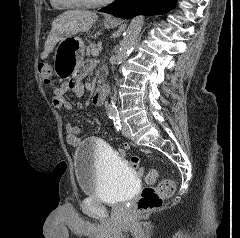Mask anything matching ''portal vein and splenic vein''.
<instances>
[{
  "mask_svg": "<svg viewBox=\"0 0 240 238\" xmlns=\"http://www.w3.org/2000/svg\"><path fill=\"white\" fill-rule=\"evenodd\" d=\"M99 55V50L97 49L95 52H94V56H98Z\"/></svg>",
  "mask_w": 240,
  "mask_h": 238,
  "instance_id": "portal-vein-and-splenic-vein-1",
  "label": "portal vein and splenic vein"
}]
</instances>
